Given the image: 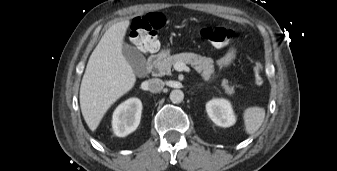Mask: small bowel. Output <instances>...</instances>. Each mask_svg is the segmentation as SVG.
Segmentation results:
<instances>
[{"label":"small bowel","mask_w":337,"mask_h":171,"mask_svg":"<svg viewBox=\"0 0 337 171\" xmlns=\"http://www.w3.org/2000/svg\"><path fill=\"white\" fill-rule=\"evenodd\" d=\"M237 51L234 48H231L224 57L217 61V65L220 68L229 67L235 60Z\"/></svg>","instance_id":"small-bowel-1"}]
</instances>
